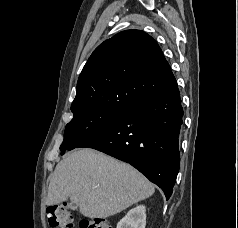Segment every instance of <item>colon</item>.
<instances>
[{"mask_svg": "<svg viewBox=\"0 0 238 228\" xmlns=\"http://www.w3.org/2000/svg\"><path fill=\"white\" fill-rule=\"evenodd\" d=\"M48 222L51 228H73L74 218L70 209L64 204H54L47 208ZM80 228H111L110 223L101 218L82 219Z\"/></svg>", "mask_w": 238, "mask_h": 228, "instance_id": "1", "label": "colon"}]
</instances>
